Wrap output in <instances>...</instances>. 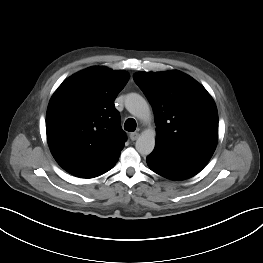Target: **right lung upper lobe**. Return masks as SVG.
I'll return each instance as SVG.
<instances>
[{
    "label": "right lung upper lobe",
    "mask_w": 263,
    "mask_h": 263,
    "mask_svg": "<svg viewBox=\"0 0 263 263\" xmlns=\"http://www.w3.org/2000/svg\"><path fill=\"white\" fill-rule=\"evenodd\" d=\"M129 80L124 71L91 67L66 79L46 114L47 141L57 163L85 178L115 163L126 141L114 100Z\"/></svg>",
    "instance_id": "1"
}]
</instances>
